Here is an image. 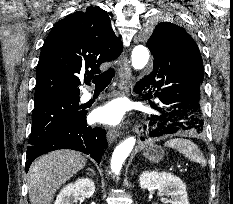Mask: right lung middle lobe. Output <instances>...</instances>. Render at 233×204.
Segmentation results:
<instances>
[{
    "instance_id": "right-lung-middle-lobe-1",
    "label": "right lung middle lobe",
    "mask_w": 233,
    "mask_h": 204,
    "mask_svg": "<svg viewBox=\"0 0 233 204\" xmlns=\"http://www.w3.org/2000/svg\"><path fill=\"white\" fill-rule=\"evenodd\" d=\"M79 100V96H57L34 103L30 146L79 115Z\"/></svg>"
}]
</instances>
